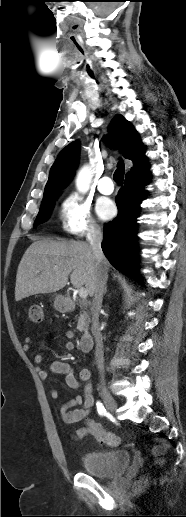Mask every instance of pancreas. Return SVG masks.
I'll list each match as a JSON object with an SVG mask.
<instances>
[{
    "label": "pancreas",
    "instance_id": "pancreas-1",
    "mask_svg": "<svg viewBox=\"0 0 186 517\" xmlns=\"http://www.w3.org/2000/svg\"><path fill=\"white\" fill-rule=\"evenodd\" d=\"M87 306V303L83 301L80 302V307L82 311L80 312V316L78 318L77 323V330H79L80 332L86 331L90 324V313L87 311Z\"/></svg>",
    "mask_w": 186,
    "mask_h": 517
}]
</instances>
